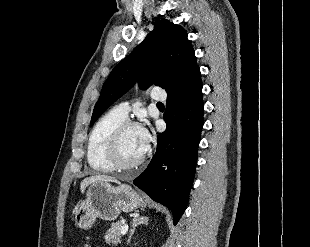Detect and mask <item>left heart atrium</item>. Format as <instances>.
I'll return each instance as SVG.
<instances>
[{"label": "left heart atrium", "mask_w": 310, "mask_h": 247, "mask_svg": "<svg viewBox=\"0 0 310 247\" xmlns=\"http://www.w3.org/2000/svg\"><path fill=\"white\" fill-rule=\"evenodd\" d=\"M140 129V136L142 143L144 145L145 150H147L149 142H150V131L146 127H139Z\"/></svg>", "instance_id": "left-heart-atrium-1"}]
</instances>
